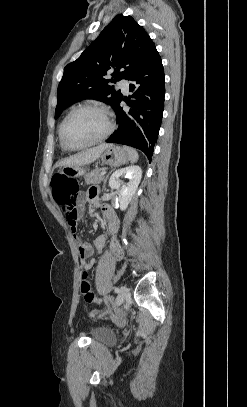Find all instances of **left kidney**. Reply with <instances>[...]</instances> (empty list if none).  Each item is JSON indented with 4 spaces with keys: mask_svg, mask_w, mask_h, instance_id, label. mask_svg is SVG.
<instances>
[{
    "mask_svg": "<svg viewBox=\"0 0 247 407\" xmlns=\"http://www.w3.org/2000/svg\"><path fill=\"white\" fill-rule=\"evenodd\" d=\"M129 179L127 184L120 183V177ZM142 178V170L139 166H129L116 170L110 177L109 186L118 190L120 209L126 210L128 204L136 193Z\"/></svg>",
    "mask_w": 247,
    "mask_h": 407,
    "instance_id": "obj_1",
    "label": "left kidney"
}]
</instances>
